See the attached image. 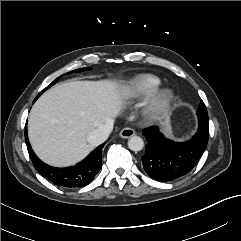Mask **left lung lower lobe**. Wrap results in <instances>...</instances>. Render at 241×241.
<instances>
[{"label": "left lung lower lobe", "instance_id": "1", "mask_svg": "<svg viewBox=\"0 0 241 241\" xmlns=\"http://www.w3.org/2000/svg\"><path fill=\"white\" fill-rule=\"evenodd\" d=\"M146 137L142 165L157 181H173L189 173L206 149L209 130L199 125L197 133L186 142L167 139L157 126L142 131Z\"/></svg>", "mask_w": 241, "mask_h": 241}]
</instances>
